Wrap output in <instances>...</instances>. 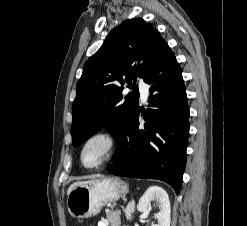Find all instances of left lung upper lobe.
<instances>
[{"mask_svg":"<svg viewBox=\"0 0 247 226\" xmlns=\"http://www.w3.org/2000/svg\"><path fill=\"white\" fill-rule=\"evenodd\" d=\"M166 44L160 33L142 18L128 19L109 33L86 62L77 84L72 106L74 147L103 125L117 139L139 107L137 77L145 78ZM123 79L133 90L126 97L122 95Z\"/></svg>","mask_w":247,"mask_h":226,"instance_id":"5c2ea615","label":"left lung upper lobe"}]
</instances>
